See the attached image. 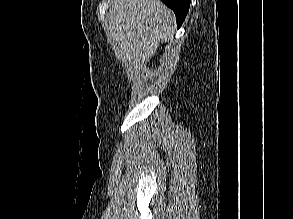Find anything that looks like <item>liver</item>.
Returning <instances> with one entry per match:
<instances>
[{
  "label": "liver",
  "mask_w": 293,
  "mask_h": 219,
  "mask_svg": "<svg viewBox=\"0 0 293 219\" xmlns=\"http://www.w3.org/2000/svg\"><path fill=\"white\" fill-rule=\"evenodd\" d=\"M110 38L122 61L142 69L175 27V15L160 0H110Z\"/></svg>",
  "instance_id": "obj_1"
}]
</instances>
